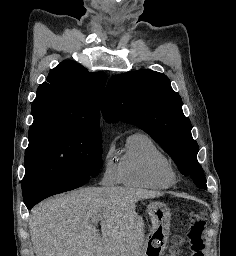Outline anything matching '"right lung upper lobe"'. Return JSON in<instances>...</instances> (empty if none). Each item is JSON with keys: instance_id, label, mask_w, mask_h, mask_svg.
<instances>
[{"instance_id": "cb5924a9", "label": "right lung upper lobe", "mask_w": 236, "mask_h": 256, "mask_svg": "<svg viewBox=\"0 0 236 256\" xmlns=\"http://www.w3.org/2000/svg\"><path fill=\"white\" fill-rule=\"evenodd\" d=\"M107 76L89 72L74 61H63L38 87L32 103L33 125L41 123L74 124L99 128L101 98Z\"/></svg>"}]
</instances>
